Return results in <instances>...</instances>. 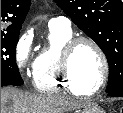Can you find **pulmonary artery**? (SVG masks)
I'll use <instances>...</instances> for the list:
<instances>
[{
    "label": "pulmonary artery",
    "mask_w": 123,
    "mask_h": 113,
    "mask_svg": "<svg viewBox=\"0 0 123 113\" xmlns=\"http://www.w3.org/2000/svg\"><path fill=\"white\" fill-rule=\"evenodd\" d=\"M48 26L49 29L70 30L71 22L66 17H55L50 19Z\"/></svg>",
    "instance_id": "1"
}]
</instances>
